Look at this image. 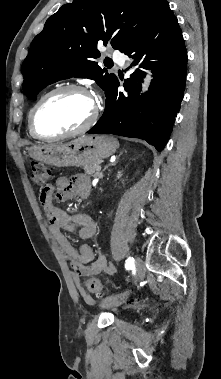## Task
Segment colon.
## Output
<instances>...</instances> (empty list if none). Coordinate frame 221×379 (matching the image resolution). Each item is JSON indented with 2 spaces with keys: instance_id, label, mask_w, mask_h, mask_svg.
<instances>
[{
  "instance_id": "obj_1",
  "label": "colon",
  "mask_w": 221,
  "mask_h": 379,
  "mask_svg": "<svg viewBox=\"0 0 221 379\" xmlns=\"http://www.w3.org/2000/svg\"><path fill=\"white\" fill-rule=\"evenodd\" d=\"M52 179L51 170L42 163L32 164V180L39 187V196L45 197L51 190L50 181ZM87 289L101 297L105 294L104 286L98 278L90 277L86 280Z\"/></svg>"
}]
</instances>
